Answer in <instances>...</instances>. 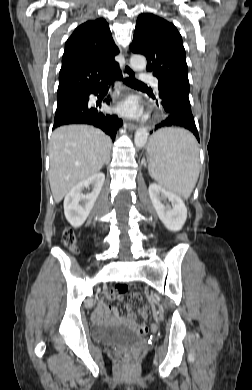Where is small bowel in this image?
Masks as SVG:
<instances>
[{"label": "small bowel", "mask_w": 252, "mask_h": 390, "mask_svg": "<svg viewBox=\"0 0 252 390\" xmlns=\"http://www.w3.org/2000/svg\"><path fill=\"white\" fill-rule=\"evenodd\" d=\"M117 297L119 300H123V294L117 293L115 290L110 291L107 294L108 299H114ZM141 321L139 322L136 314L131 310V306L126 305V314L119 316L118 309L116 307L100 304L93 313V320L96 322H110L126 324L129 328L137 332L138 334H144L148 331V317L149 308L147 306L141 307L139 310Z\"/></svg>", "instance_id": "obj_1"}]
</instances>
